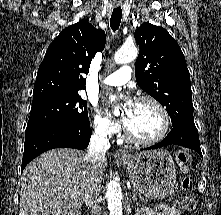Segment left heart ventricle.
<instances>
[{"instance_id": "left-heart-ventricle-1", "label": "left heart ventricle", "mask_w": 221, "mask_h": 215, "mask_svg": "<svg viewBox=\"0 0 221 215\" xmlns=\"http://www.w3.org/2000/svg\"><path fill=\"white\" fill-rule=\"evenodd\" d=\"M127 129L135 136L150 139L157 136L162 128V119L157 108L149 103H135Z\"/></svg>"}]
</instances>
